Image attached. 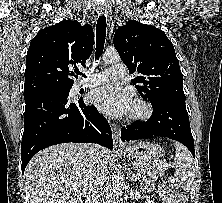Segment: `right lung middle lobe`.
Returning <instances> with one entry per match:
<instances>
[{
	"instance_id": "dd1d6c3e",
	"label": "right lung middle lobe",
	"mask_w": 222,
	"mask_h": 203,
	"mask_svg": "<svg viewBox=\"0 0 222 203\" xmlns=\"http://www.w3.org/2000/svg\"><path fill=\"white\" fill-rule=\"evenodd\" d=\"M71 88H72V86H66V87H57V88H51V89H45V90H40V91H36V92L26 93V94H24V99H25V101H27L31 98L50 95V94L69 95V91Z\"/></svg>"
}]
</instances>
